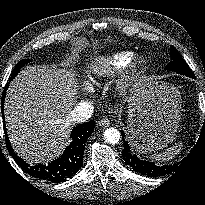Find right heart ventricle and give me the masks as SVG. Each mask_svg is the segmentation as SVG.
I'll return each instance as SVG.
<instances>
[{
    "mask_svg": "<svg viewBox=\"0 0 205 205\" xmlns=\"http://www.w3.org/2000/svg\"><path fill=\"white\" fill-rule=\"evenodd\" d=\"M132 51L112 52L98 57L90 74L85 79L86 84H92L96 79L109 77L123 70L134 58Z\"/></svg>",
    "mask_w": 205,
    "mask_h": 205,
    "instance_id": "right-heart-ventricle-1",
    "label": "right heart ventricle"
}]
</instances>
